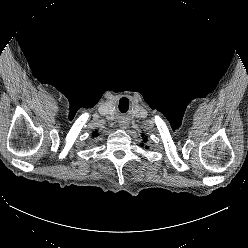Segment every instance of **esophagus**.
Here are the masks:
<instances>
[{
  "label": "esophagus",
  "instance_id": "esophagus-1",
  "mask_svg": "<svg viewBox=\"0 0 248 248\" xmlns=\"http://www.w3.org/2000/svg\"><path fill=\"white\" fill-rule=\"evenodd\" d=\"M128 122L127 121H125V120H120L119 121V126H120V128H122V129H126L127 127H128Z\"/></svg>",
  "mask_w": 248,
  "mask_h": 248
}]
</instances>
